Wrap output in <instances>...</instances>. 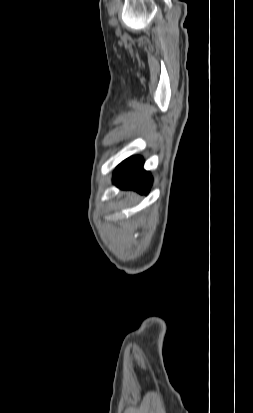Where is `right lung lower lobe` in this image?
<instances>
[{"mask_svg": "<svg viewBox=\"0 0 253 413\" xmlns=\"http://www.w3.org/2000/svg\"><path fill=\"white\" fill-rule=\"evenodd\" d=\"M144 160L140 156H132L124 160L115 170L113 182L125 189H133L147 194L152 184L149 172L143 169Z\"/></svg>", "mask_w": 253, "mask_h": 413, "instance_id": "1", "label": "right lung lower lobe"}]
</instances>
